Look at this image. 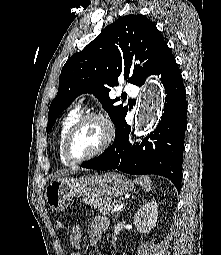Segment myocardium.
I'll return each instance as SVG.
<instances>
[{
	"label": "myocardium",
	"instance_id": "f54148a6",
	"mask_svg": "<svg viewBox=\"0 0 221 255\" xmlns=\"http://www.w3.org/2000/svg\"><path fill=\"white\" fill-rule=\"evenodd\" d=\"M91 120H97L103 125L104 133H105L104 140H103L102 144L99 146V148L97 150H95L93 153H91L83 158H75L71 153L72 140H73L74 136L76 135V133L78 132V130L83 125H85L87 122H89ZM113 136H114V126L112 124V121L110 120V118L107 115H105L101 112H89V113L83 114L73 124V126L70 128V130L68 131V133L66 135L64 145H63L64 157L66 158V160L69 163H71L73 165H78V164L87 162V161L101 155L109 147V145L113 139Z\"/></svg>",
	"mask_w": 221,
	"mask_h": 255
}]
</instances>
